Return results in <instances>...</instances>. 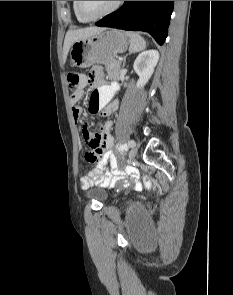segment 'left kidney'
Wrapping results in <instances>:
<instances>
[{
  "label": "left kidney",
  "instance_id": "5707ae66",
  "mask_svg": "<svg viewBox=\"0 0 233 295\" xmlns=\"http://www.w3.org/2000/svg\"><path fill=\"white\" fill-rule=\"evenodd\" d=\"M158 60L159 52L157 50H146L137 56L133 65L135 72L139 76L136 85L137 88H142L148 82L154 72Z\"/></svg>",
  "mask_w": 233,
  "mask_h": 295
}]
</instances>
